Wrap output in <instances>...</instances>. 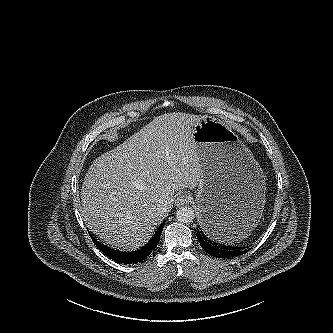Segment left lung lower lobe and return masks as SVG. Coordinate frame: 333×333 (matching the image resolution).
Here are the masks:
<instances>
[{
    "instance_id": "0a47b994",
    "label": "left lung lower lobe",
    "mask_w": 333,
    "mask_h": 333,
    "mask_svg": "<svg viewBox=\"0 0 333 333\" xmlns=\"http://www.w3.org/2000/svg\"><path fill=\"white\" fill-rule=\"evenodd\" d=\"M239 227L240 226L233 222L232 219L227 218L225 214L215 210L211 214V218L206 222V228L203 229V231L207 236L219 241L222 240L230 230ZM207 232L210 233V235H208ZM204 233L197 232L198 241L202 248L213 257L225 259L248 252V250L240 251L238 248L232 246L218 245V243L211 241Z\"/></svg>"
}]
</instances>
